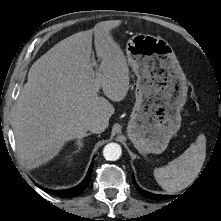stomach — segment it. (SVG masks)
Instances as JSON below:
<instances>
[{"label": "stomach", "mask_w": 221, "mask_h": 221, "mask_svg": "<svg viewBox=\"0 0 221 221\" xmlns=\"http://www.w3.org/2000/svg\"><path fill=\"white\" fill-rule=\"evenodd\" d=\"M126 54L137 76L128 137L139 153L160 154L180 129L186 76L172 47L161 37L136 34L128 40Z\"/></svg>", "instance_id": "obj_1"}]
</instances>
